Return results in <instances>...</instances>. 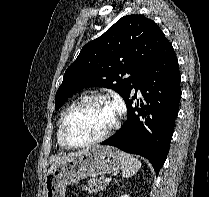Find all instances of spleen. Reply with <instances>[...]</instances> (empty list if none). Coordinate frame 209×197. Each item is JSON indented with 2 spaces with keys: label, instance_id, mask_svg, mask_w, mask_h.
<instances>
[{
  "label": "spleen",
  "instance_id": "obj_1",
  "mask_svg": "<svg viewBox=\"0 0 209 197\" xmlns=\"http://www.w3.org/2000/svg\"><path fill=\"white\" fill-rule=\"evenodd\" d=\"M120 155L122 158V176L124 178H129L136 174V172L141 168V162L124 152H121Z\"/></svg>",
  "mask_w": 209,
  "mask_h": 197
}]
</instances>
